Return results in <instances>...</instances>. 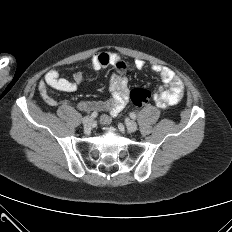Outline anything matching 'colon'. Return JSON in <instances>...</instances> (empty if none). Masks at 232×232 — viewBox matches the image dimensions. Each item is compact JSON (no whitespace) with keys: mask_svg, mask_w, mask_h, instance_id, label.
I'll return each mask as SVG.
<instances>
[{"mask_svg":"<svg viewBox=\"0 0 232 232\" xmlns=\"http://www.w3.org/2000/svg\"><path fill=\"white\" fill-rule=\"evenodd\" d=\"M152 93L145 88H134L130 91V100L134 106H142L150 101Z\"/></svg>","mask_w":232,"mask_h":232,"instance_id":"5ec220e1","label":"colon"}]
</instances>
